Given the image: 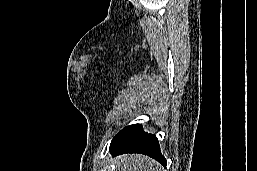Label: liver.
<instances>
[{
  "label": "liver",
  "mask_w": 257,
  "mask_h": 171,
  "mask_svg": "<svg viewBox=\"0 0 257 171\" xmlns=\"http://www.w3.org/2000/svg\"><path fill=\"white\" fill-rule=\"evenodd\" d=\"M117 171H161V165L140 154H127L115 159Z\"/></svg>",
  "instance_id": "6515ba94"
}]
</instances>
